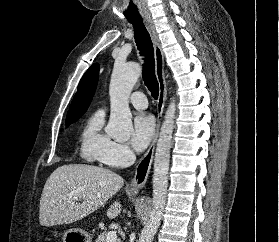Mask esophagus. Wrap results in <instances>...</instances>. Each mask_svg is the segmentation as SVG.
Masks as SVG:
<instances>
[{"instance_id": "obj_1", "label": "esophagus", "mask_w": 279, "mask_h": 242, "mask_svg": "<svg viewBox=\"0 0 279 242\" xmlns=\"http://www.w3.org/2000/svg\"><path fill=\"white\" fill-rule=\"evenodd\" d=\"M145 25L150 33L154 46L155 74L159 83V96L157 101V126L152 142L144 157L138 163L131 183L127 186V189L132 192H139L146 184L154 157L155 144L159 134L162 114L167 98V86L164 74V55L160 45V40L154 23L152 21H145Z\"/></svg>"}]
</instances>
